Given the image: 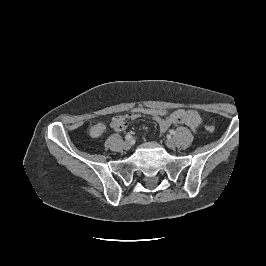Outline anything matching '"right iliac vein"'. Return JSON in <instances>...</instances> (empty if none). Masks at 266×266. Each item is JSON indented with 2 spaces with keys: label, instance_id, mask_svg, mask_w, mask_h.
I'll return each mask as SVG.
<instances>
[{
  "label": "right iliac vein",
  "instance_id": "obj_1",
  "mask_svg": "<svg viewBox=\"0 0 266 266\" xmlns=\"http://www.w3.org/2000/svg\"><path fill=\"white\" fill-rule=\"evenodd\" d=\"M123 147H124L125 150H129V149H131V147H132V143H131V141L126 140V141L123 143Z\"/></svg>",
  "mask_w": 266,
  "mask_h": 266
}]
</instances>
